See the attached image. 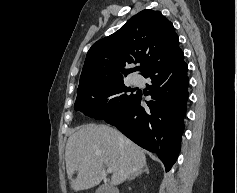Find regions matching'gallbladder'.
Returning a JSON list of instances; mask_svg holds the SVG:
<instances>
[{
	"label": "gallbladder",
	"mask_w": 237,
	"mask_h": 193,
	"mask_svg": "<svg viewBox=\"0 0 237 193\" xmlns=\"http://www.w3.org/2000/svg\"><path fill=\"white\" fill-rule=\"evenodd\" d=\"M95 193H109V189L107 186L105 185H102V186H99L97 189H96V192Z\"/></svg>",
	"instance_id": "1"
}]
</instances>
